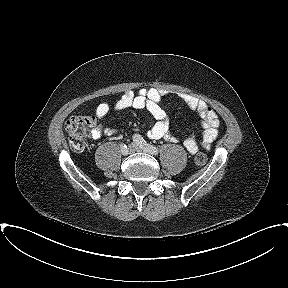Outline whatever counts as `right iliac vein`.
Instances as JSON below:
<instances>
[{"instance_id": "63e3f726", "label": "right iliac vein", "mask_w": 288, "mask_h": 288, "mask_svg": "<svg viewBox=\"0 0 288 288\" xmlns=\"http://www.w3.org/2000/svg\"><path fill=\"white\" fill-rule=\"evenodd\" d=\"M128 149H129V154H131V153L134 152V147H133V145H129V146H128Z\"/></svg>"}]
</instances>
